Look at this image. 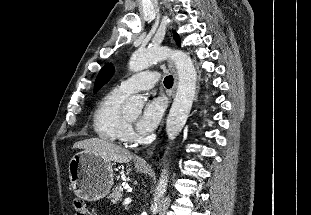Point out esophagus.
I'll return each instance as SVG.
<instances>
[{"label":"esophagus","mask_w":311,"mask_h":215,"mask_svg":"<svg viewBox=\"0 0 311 215\" xmlns=\"http://www.w3.org/2000/svg\"><path fill=\"white\" fill-rule=\"evenodd\" d=\"M169 67L171 68V70L173 72V76H174V85H173V93H174L175 89L177 87V83H178V75H177V71H176V68H175L173 62L169 63ZM155 145L156 144H154L150 149H148L145 157H140L136 160L137 165H140V166H147L148 165V158H150L152 156L153 151L155 149Z\"/></svg>","instance_id":"obj_1"}]
</instances>
